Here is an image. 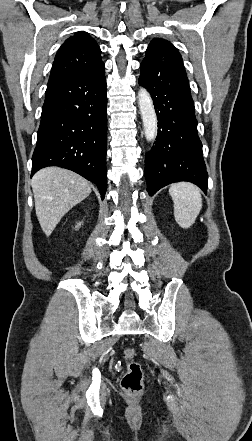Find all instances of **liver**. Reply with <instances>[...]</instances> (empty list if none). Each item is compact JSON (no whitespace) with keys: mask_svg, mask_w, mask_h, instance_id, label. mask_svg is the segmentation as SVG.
Returning <instances> with one entry per match:
<instances>
[{"mask_svg":"<svg viewBox=\"0 0 252 441\" xmlns=\"http://www.w3.org/2000/svg\"><path fill=\"white\" fill-rule=\"evenodd\" d=\"M31 185L36 216L46 236L71 208L91 193L86 179L59 167L41 169L33 176Z\"/></svg>","mask_w":252,"mask_h":441,"instance_id":"6515ba94","label":"liver"}]
</instances>
